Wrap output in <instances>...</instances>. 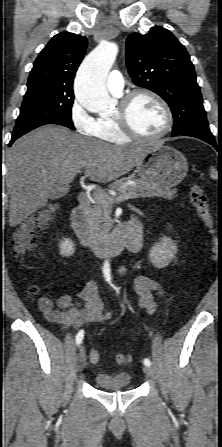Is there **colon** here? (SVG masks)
I'll use <instances>...</instances> for the list:
<instances>
[{"label":"colon","instance_id":"1","mask_svg":"<svg viewBox=\"0 0 222 447\" xmlns=\"http://www.w3.org/2000/svg\"><path fill=\"white\" fill-rule=\"evenodd\" d=\"M189 197L199 218L210 233H214V220L207 195L199 184H192L189 189ZM58 212V205L50 204L34 215L27 218L15 231L13 235L12 250L18 261H22L25 255L36 245L37 235L45 229ZM37 292L36 288L31 289V294ZM92 362L100 360L99 353L92 351L90 354ZM129 361V357L124 354L116 356V362L123 364Z\"/></svg>","mask_w":222,"mask_h":447}]
</instances>
